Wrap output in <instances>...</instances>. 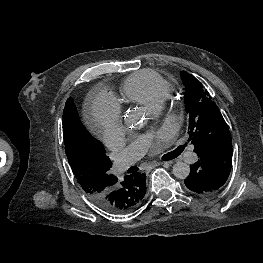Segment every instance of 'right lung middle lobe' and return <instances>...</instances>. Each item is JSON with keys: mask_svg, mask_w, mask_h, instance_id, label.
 Listing matches in <instances>:
<instances>
[{"mask_svg": "<svg viewBox=\"0 0 263 263\" xmlns=\"http://www.w3.org/2000/svg\"><path fill=\"white\" fill-rule=\"evenodd\" d=\"M62 124L65 152L79 184L89 195L101 191L112 163L103 144L80 122L72 98L66 102Z\"/></svg>", "mask_w": 263, "mask_h": 263, "instance_id": "dd1d6c3e", "label": "right lung middle lobe"}]
</instances>
